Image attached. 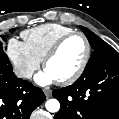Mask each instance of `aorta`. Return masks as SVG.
<instances>
[{"label":"aorta","instance_id":"aorta-1","mask_svg":"<svg viewBox=\"0 0 119 119\" xmlns=\"http://www.w3.org/2000/svg\"><path fill=\"white\" fill-rule=\"evenodd\" d=\"M45 107H46L47 111H49L51 113H55V112L59 111L60 103L57 99H49L46 102Z\"/></svg>","mask_w":119,"mask_h":119}]
</instances>
